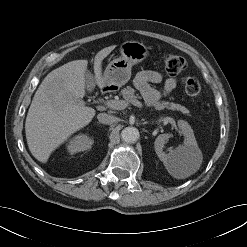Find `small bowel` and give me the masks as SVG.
Returning a JSON list of instances; mask_svg holds the SVG:
<instances>
[{
    "instance_id": "obj_1",
    "label": "small bowel",
    "mask_w": 247,
    "mask_h": 247,
    "mask_svg": "<svg viewBox=\"0 0 247 247\" xmlns=\"http://www.w3.org/2000/svg\"><path fill=\"white\" fill-rule=\"evenodd\" d=\"M162 80V75L154 70H142L135 76V86L141 92L145 101L149 104L156 103L161 97V93L155 89L151 83H159ZM177 85L176 78L170 77L165 81L164 94L170 93Z\"/></svg>"
}]
</instances>
